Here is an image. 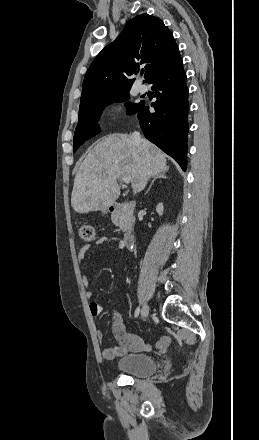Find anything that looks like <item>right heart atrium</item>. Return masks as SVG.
Wrapping results in <instances>:
<instances>
[{
    "label": "right heart atrium",
    "mask_w": 259,
    "mask_h": 440,
    "mask_svg": "<svg viewBox=\"0 0 259 440\" xmlns=\"http://www.w3.org/2000/svg\"><path fill=\"white\" fill-rule=\"evenodd\" d=\"M110 109H111V119L113 121H116L122 116L124 112V105L121 102L116 101L112 103Z\"/></svg>",
    "instance_id": "obj_1"
}]
</instances>
